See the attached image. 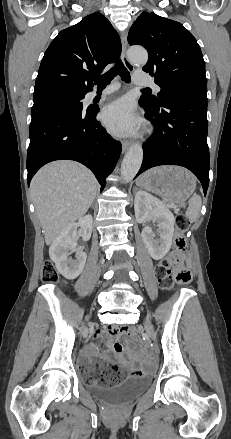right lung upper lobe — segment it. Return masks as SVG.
I'll return each instance as SVG.
<instances>
[{"mask_svg": "<svg viewBox=\"0 0 231 439\" xmlns=\"http://www.w3.org/2000/svg\"><path fill=\"white\" fill-rule=\"evenodd\" d=\"M121 41L110 22L93 13L62 30L46 50L35 83L34 98L51 93L86 94L91 76L116 60Z\"/></svg>", "mask_w": 231, "mask_h": 439, "instance_id": "1", "label": "right lung upper lobe"}]
</instances>
